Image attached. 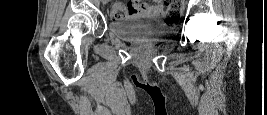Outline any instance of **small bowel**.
I'll use <instances>...</instances> for the list:
<instances>
[{"mask_svg":"<svg viewBox=\"0 0 267 115\" xmlns=\"http://www.w3.org/2000/svg\"><path fill=\"white\" fill-rule=\"evenodd\" d=\"M132 12L131 14H149L157 13L161 14L163 12V2L161 0H155L154 3L148 4L143 2H132L131 4Z\"/></svg>","mask_w":267,"mask_h":115,"instance_id":"1","label":"small bowel"}]
</instances>
